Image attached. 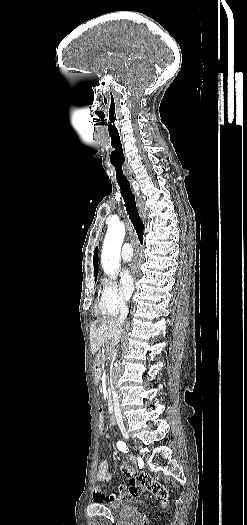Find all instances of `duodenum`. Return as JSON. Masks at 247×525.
<instances>
[{
    "instance_id": "1",
    "label": "duodenum",
    "mask_w": 247,
    "mask_h": 525,
    "mask_svg": "<svg viewBox=\"0 0 247 525\" xmlns=\"http://www.w3.org/2000/svg\"><path fill=\"white\" fill-rule=\"evenodd\" d=\"M94 374L96 377H99L101 374V369L99 365H94ZM107 406L110 413H113L114 411V404H113V396L112 393L109 391L107 393Z\"/></svg>"
}]
</instances>
